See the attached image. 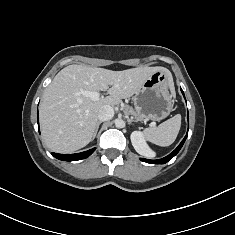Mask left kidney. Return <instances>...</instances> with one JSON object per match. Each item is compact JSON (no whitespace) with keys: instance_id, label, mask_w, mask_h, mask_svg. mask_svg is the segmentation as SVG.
Returning a JSON list of instances; mask_svg holds the SVG:
<instances>
[{"instance_id":"5707ae66","label":"left kidney","mask_w":235,"mask_h":235,"mask_svg":"<svg viewBox=\"0 0 235 235\" xmlns=\"http://www.w3.org/2000/svg\"><path fill=\"white\" fill-rule=\"evenodd\" d=\"M130 138H131V143L137 153L146 157L155 156V152L152 151L150 147L147 145L145 137L142 132L134 131L131 133Z\"/></svg>"}]
</instances>
